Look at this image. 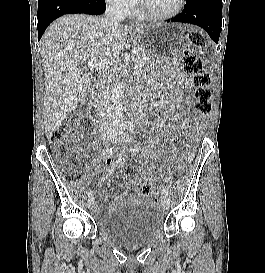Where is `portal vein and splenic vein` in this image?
Here are the masks:
<instances>
[{"mask_svg": "<svg viewBox=\"0 0 265 273\" xmlns=\"http://www.w3.org/2000/svg\"><path fill=\"white\" fill-rule=\"evenodd\" d=\"M113 63H110L108 61H99L97 58H91L89 59L87 66L90 69H96V70H106L110 69L112 67Z\"/></svg>", "mask_w": 265, "mask_h": 273, "instance_id": "18ae733b", "label": "portal vein and splenic vein"}]
</instances>
